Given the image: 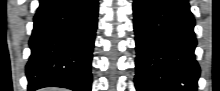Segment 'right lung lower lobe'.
Masks as SVG:
<instances>
[{
  "instance_id": "obj_1",
  "label": "right lung lower lobe",
  "mask_w": 220,
  "mask_h": 91,
  "mask_svg": "<svg viewBox=\"0 0 220 91\" xmlns=\"http://www.w3.org/2000/svg\"><path fill=\"white\" fill-rule=\"evenodd\" d=\"M98 0H40L29 41L28 90H91Z\"/></svg>"
}]
</instances>
